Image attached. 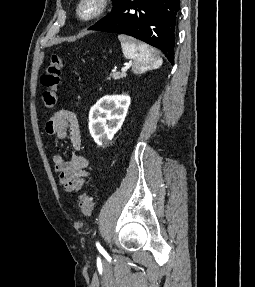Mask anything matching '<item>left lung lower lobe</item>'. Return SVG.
<instances>
[{
  "label": "left lung lower lobe",
  "instance_id": "0a47b994",
  "mask_svg": "<svg viewBox=\"0 0 255 287\" xmlns=\"http://www.w3.org/2000/svg\"><path fill=\"white\" fill-rule=\"evenodd\" d=\"M179 10L180 0H117L88 30L133 36L160 49L173 64Z\"/></svg>",
  "mask_w": 255,
  "mask_h": 287
}]
</instances>
